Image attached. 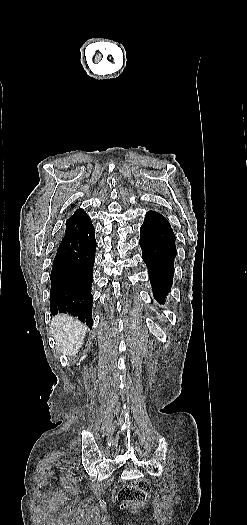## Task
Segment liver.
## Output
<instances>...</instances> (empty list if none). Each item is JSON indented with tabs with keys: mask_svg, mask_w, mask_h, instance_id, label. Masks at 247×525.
<instances>
[{
	"mask_svg": "<svg viewBox=\"0 0 247 525\" xmlns=\"http://www.w3.org/2000/svg\"><path fill=\"white\" fill-rule=\"evenodd\" d=\"M88 327L76 321L70 315H55L52 317L50 331L55 347L61 353L60 361L66 365L72 357H76L83 345Z\"/></svg>",
	"mask_w": 247,
	"mask_h": 525,
	"instance_id": "liver-1",
	"label": "liver"
}]
</instances>
